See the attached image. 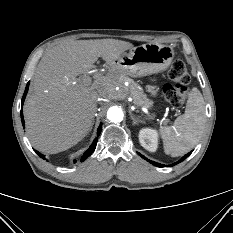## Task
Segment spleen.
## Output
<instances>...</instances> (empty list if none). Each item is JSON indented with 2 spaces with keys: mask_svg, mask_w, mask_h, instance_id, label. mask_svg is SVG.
<instances>
[{
  "mask_svg": "<svg viewBox=\"0 0 233 233\" xmlns=\"http://www.w3.org/2000/svg\"><path fill=\"white\" fill-rule=\"evenodd\" d=\"M206 123L205 102L197 88L189 93L185 113L173 125L160 128L164 151L172 157L190 151L199 141Z\"/></svg>",
  "mask_w": 233,
  "mask_h": 233,
  "instance_id": "3e777b00",
  "label": "spleen"
}]
</instances>
